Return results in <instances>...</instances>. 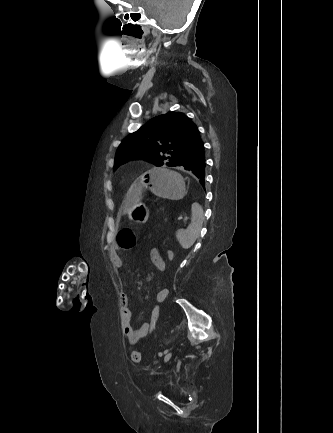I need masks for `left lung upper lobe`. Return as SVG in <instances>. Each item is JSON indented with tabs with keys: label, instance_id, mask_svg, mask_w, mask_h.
<instances>
[{
	"label": "left lung upper lobe",
	"instance_id": "left-lung-upper-lobe-1",
	"mask_svg": "<svg viewBox=\"0 0 333 433\" xmlns=\"http://www.w3.org/2000/svg\"><path fill=\"white\" fill-rule=\"evenodd\" d=\"M201 142L197 126L184 113L169 112L151 119L123 140L115 155L114 170L131 159L175 167Z\"/></svg>",
	"mask_w": 333,
	"mask_h": 433
}]
</instances>
